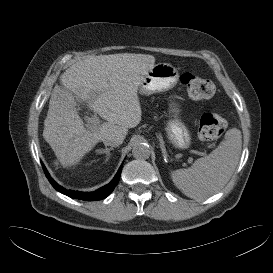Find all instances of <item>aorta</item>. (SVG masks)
<instances>
[{
  "label": "aorta",
  "instance_id": "aorta-1",
  "mask_svg": "<svg viewBox=\"0 0 273 273\" xmlns=\"http://www.w3.org/2000/svg\"><path fill=\"white\" fill-rule=\"evenodd\" d=\"M150 153V148L146 143H137L132 149V155L136 159H148L150 157Z\"/></svg>",
  "mask_w": 273,
  "mask_h": 273
}]
</instances>
